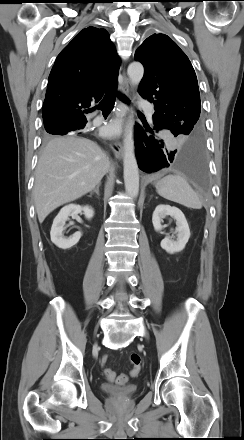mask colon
Wrapping results in <instances>:
<instances>
[{"label":"colon","instance_id":"obj_1","mask_svg":"<svg viewBox=\"0 0 244 440\" xmlns=\"http://www.w3.org/2000/svg\"><path fill=\"white\" fill-rule=\"evenodd\" d=\"M130 361L133 365L131 373L133 376H136V375H138V373L140 372V369H141V358L137 353H133L130 356ZM104 375H105V378L109 382L116 381V383L120 386L126 385V383L128 382L127 375L120 374L116 377L115 372L109 368L105 369Z\"/></svg>","mask_w":244,"mask_h":440}]
</instances>
